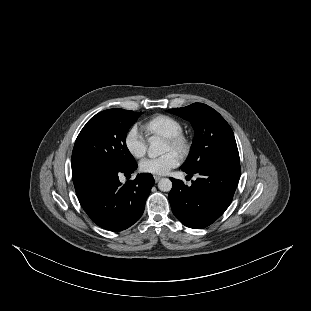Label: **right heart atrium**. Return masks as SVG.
<instances>
[{"instance_id": "obj_1", "label": "right heart atrium", "mask_w": 311, "mask_h": 311, "mask_svg": "<svg viewBox=\"0 0 311 311\" xmlns=\"http://www.w3.org/2000/svg\"><path fill=\"white\" fill-rule=\"evenodd\" d=\"M123 144L128 154L134 159H142L147 152L146 138L136 125L128 128L123 137Z\"/></svg>"}]
</instances>
